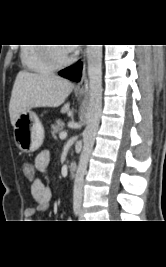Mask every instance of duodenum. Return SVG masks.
Returning a JSON list of instances; mask_svg holds the SVG:
<instances>
[{
    "label": "duodenum",
    "mask_w": 166,
    "mask_h": 267,
    "mask_svg": "<svg viewBox=\"0 0 166 267\" xmlns=\"http://www.w3.org/2000/svg\"><path fill=\"white\" fill-rule=\"evenodd\" d=\"M77 170V164L75 162H71L69 165V174L72 176L75 174Z\"/></svg>",
    "instance_id": "obj_1"
}]
</instances>
